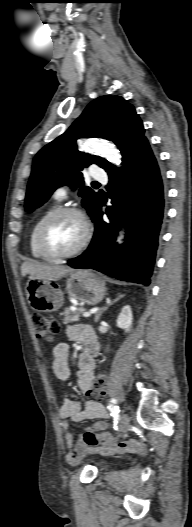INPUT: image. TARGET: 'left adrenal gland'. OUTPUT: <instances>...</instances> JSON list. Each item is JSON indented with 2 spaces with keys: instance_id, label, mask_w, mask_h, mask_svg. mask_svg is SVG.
Returning a JSON list of instances; mask_svg holds the SVG:
<instances>
[{
  "instance_id": "obj_1",
  "label": "left adrenal gland",
  "mask_w": 192,
  "mask_h": 527,
  "mask_svg": "<svg viewBox=\"0 0 192 527\" xmlns=\"http://www.w3.org/2000/svg\"><path fill=\"white\" fill-rule=\"evenodd\" d=\"M122 297H123V295H120V296H119L118 298H116L114 301L109 302L105 307L101 308V309L96 313L94 321H95V322H98L99 319H100V317H101V315H102V313H103L105 310H107L109 306H111V305H113L114 303H116L117 301H119V299L122 298Z\"/></svg>"
}]
</instances>
